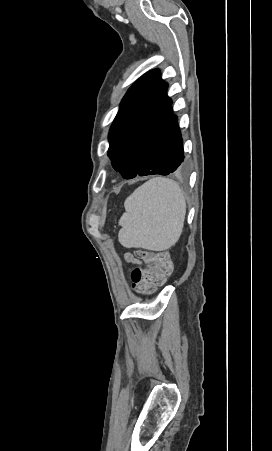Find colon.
<instances>
[{"label": "colon", "instance_id": "1", "mask_svg": "<svg viewBox=\"0 0 272 451\" xmlns=\"http://www.w3.org/2000/svg\"><path fill=\"white\" fill-rule=\"evenodd\" d=\"M132 255L133 258H142L146 261V267L136 266L132 271V289L136 293L153 292L173 270L169 254L166 251L133 249Z\"/></svg>", "mask_w": 272, "mask_h": 451}]
</instances>
